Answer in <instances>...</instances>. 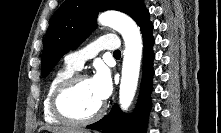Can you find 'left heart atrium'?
<instances>
[{
  "label": "left heart atrium",
  "mask_w": 221,
  "mask_h": 133,
  "mask_svg": "<svg viewBox=\"0 0 221 133\" xmlns=\"http://www.w3.org/2000/svg\"><path fill=\"white\" fill-rule=\"evenodd\" d=\"M94 92L102 102L105 101L112 92V83L109 71L105 67H99L90 79Z\"/></svg>",
  "instance_id": "obj_1"
}]
</instances>
